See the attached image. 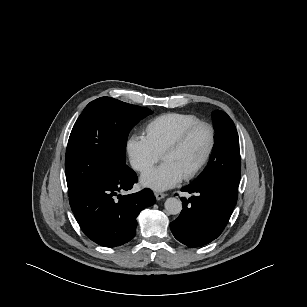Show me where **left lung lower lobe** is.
Instances as JSON below:
<instances>
[{"label": "left lung lower lobe", "instance_id": "0a47b994", "mask_svg": "<svg viewBox=\"0 0 307 307\" xmlns=\"http://www.w3.org/2000/svg\"><path fill=\"white\" fill-rule=\"evenodd\" d=\"M195 193L183 201L179 217L170 223L174 237L189 247H199L216 239L225 228L237 197L216 183H191L181 189Z\"/></svg>", "mask_w": 307, "mask_h": 307}]
</instances>
